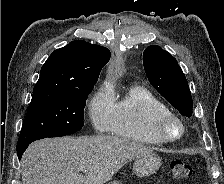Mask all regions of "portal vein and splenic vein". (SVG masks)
<instances>
[{"instance_id":"portal-vein-and-splenic-vein-1","label":"portal vein and splenic vein","mask_w":224,"mask_h":184,"mask_svg":"<svg viewBox=\"0 0 224 184\" xmlns=\"http://www.w3.org/2000/svg\"><path fill=\"white\" fill-rule=\"evenodd\" d=\"M80 170L81 171H86V168L85 167H80Z\"/></svg>"}]
</instances>
